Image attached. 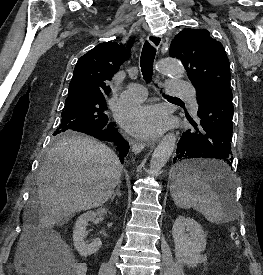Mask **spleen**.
Instances as JSON below:
<instances>
[{
	"instance_id": "3e777b00",
	"label": "spleen",
	"mask_w": 263,
	"mask_h": 275,
	"mask_svg": "<svg viewBox=\"0 0 263 275\" xmlns=\"http://www.w3.org/2000/svg\"><path fill=\"white\" fill-rule=\"evenodd\" d=\"M197 167L208 169L217 168L224 173L222 184L225 193L222 200L211 187L195 175L176 177L170 186L171 196L176 206L184 209L194 208L205 216V218L214 224H223L229 222L233 217L231 211L233 205V179L229 167L222 162L201 161L194 163Z\"/></svg>"
}]
</instances>
